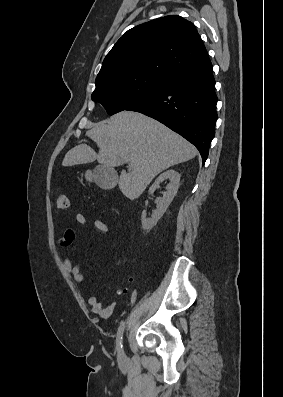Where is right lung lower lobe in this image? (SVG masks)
Listing matches in <instances>:
<instances>
[{
    "instance_id": "right-lung-lower-lobe-1",
    "label": "right lung lower lobe",
    "mask_w": 283,
    "mask_h": 397,
    "mask_svg": "<svg viewBox=\"0 0 283 397\" xmlns=\"http://www.w3.org/2000/svg\"><path fill=\"white\" fill-rule=\"evenodd\" d=\"M211 63L168 79L158 90L126 110L152 117L199 150L203 164L215 136L217 95Z\"/></svg>"
}]
</instances>
